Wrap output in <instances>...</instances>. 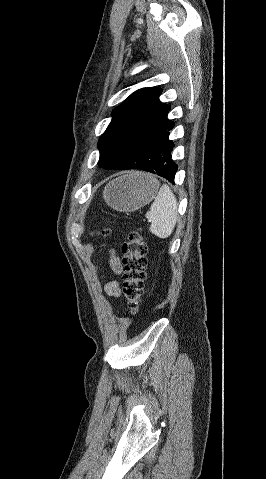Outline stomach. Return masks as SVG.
Returning <instances> with one entry per match:
<instances>
[{
	"mask_svg": "<svg viewBox=\"0 0 266 479\" xmlns=\"http://www.w3.org/2000/svg\"><path fill=\"white\" fill-rule=\"evenodd\" d=\"M159 182L143 172H130L108 183L103 191L105 202L120 212H133L155 197Z\"/></svg>",
	"mask_w": 266,
	"mask_h": 479,
	"instance_id": "obj_1",
	"label": "stomach"
}]
</instances>
